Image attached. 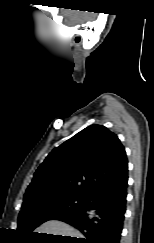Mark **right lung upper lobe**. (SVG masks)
Masks as SVG:
<instances>
[{
	"label": "right lung upper lobe",
	"instance_id": "obj_1",
	"mask_svg": "<svg viewBox=\"0 0 154 243\" xmlns=\"http://www.w3.org/2000/svg\"><path fill=\"white\" fill-rule=\"evenodd\" d=\"M127 166L116 134L101 125L88 126L46 157L25 192L23 205L60 195L86 197Z\"/></svg>",
	"mask_w": 154,
	"mask_h": 243
}]
</instances>
